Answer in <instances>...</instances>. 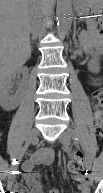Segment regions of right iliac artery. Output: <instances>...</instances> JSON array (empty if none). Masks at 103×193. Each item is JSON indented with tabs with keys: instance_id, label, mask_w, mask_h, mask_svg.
Instances as JSON below:
<instances>
[{
	"instance_id": "obj_1",
	"label": "right iliac artery",
	"mask_w": 103,
	"mask_h": 193,
	"mask_svg": "<svg viewBox=\"0 0 103 193\" xmlns=\"http://www.w3.org/2000/svg\"><path fill=\"white\" fill-rule=\"evenodd\" d=\"M28 147H29V144H26V145L22 148V150L20 151L18 157L14 160L15 163L17 162V164H18V162L21 161V159L23 158L25 152L28 150Z\"/></svg>"
}]
</instances>
